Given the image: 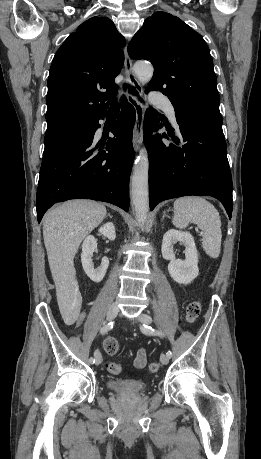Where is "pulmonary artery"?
I'll list each match as a JSON object with an SVG mask.
<instances>
[{
  "mask_svg": "<svg viewBox=\"0 0 261 459\" xmlns=\"http://www.w3.org/2000/svg\"><path fill=\"white\" fill-rule=\"evenodd\" d=\"M152 102L163 108L164 111L166 112L167 116L169 117V119L173 122V123H176V115H175V109L173 107V105L171 104V102L164 98V97H160V96H153L152 97Z\"/></svg>",
  "mask_w": 261,
  "mask_h": 459,
  "instance_id": "pulmonary-artery-1",
  "label": "pulmonary artery"
}]
</instances>
